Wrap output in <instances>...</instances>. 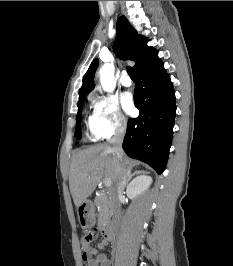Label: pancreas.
<instances>
[{"instance_id":"pancreas-1","label":"pancreas","mask_w":233,"mask_h":266,"mask_svg":"<svg viewBox=\"0 0 233 266\" xmlns=\"http://www.w3.org/2000/svg\"><path fill=\"white\" fill-rule=\"evenodd\" d=\"M95 205L98 208L99 223H103L104 219L110 214L112 203L109 196L104 193H101L99 197L95 198Z\"/></svg>"}]
</instances>
